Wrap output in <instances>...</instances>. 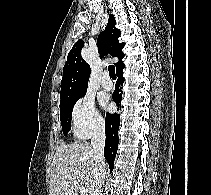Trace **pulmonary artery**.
<instances>
[{"mask_svg":"<svg viewBox=\"0 0 211 195\" xmlns=\"http://www.w3.org/2000/svg\"><path fill=\"white\" fill-rule=\"evenodd\" d=\"M101 86L104 90H111L113 88V82L110 79L108 73H104L101 78Z\"/></svg>","mask_w":211,"mask_h":195,"instance_id":"1","label":"pulmonary artery"}]
</instances>
